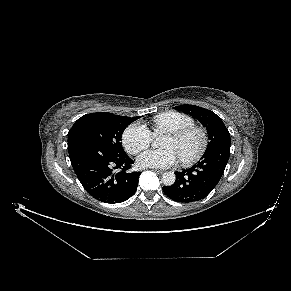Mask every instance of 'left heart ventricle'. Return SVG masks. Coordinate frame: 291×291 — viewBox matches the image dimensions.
<instances>
[{"mask_svg":"<svg viewBox=\"0 0 291 291\" xmlns=\"http://www.w3.org/2000/svg\"><path fill=\"white\" fill-rule=\"evenodd\" d=\"M199 141L200 138L198 134H191L180 140L167 135L162 142V146L164 148H173L177 152L179 158H183L190 156L196 151Z\"/></svg>","mask_w":291,"mask_h":291,"instance_id":"1","label":"left heart ventricle"}]
</instances>
